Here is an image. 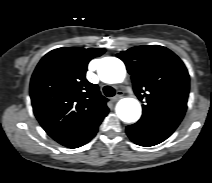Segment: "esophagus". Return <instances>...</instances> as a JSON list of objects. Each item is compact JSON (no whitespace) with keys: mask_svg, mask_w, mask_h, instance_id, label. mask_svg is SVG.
<instances>
[{"mask_svg":"<svg viewBox=\"0 0 212 183\" xmlns=\"http://www.w3.org/2000/svg\"><path fill=\"white\" fill-rule=\"evenodd\" d=\"M123 96V92L122 91H117L116 95L112 98V101H116L119 98H121Z\"/></svg>","mask_w":212,"mask_h":183,"instance_id":"1","label":"esophagus"}]
</instances>
